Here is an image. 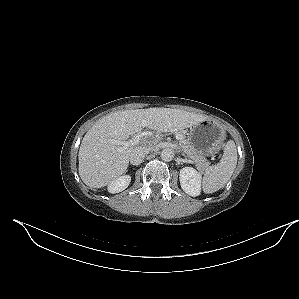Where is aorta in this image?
<instances>
[{"mask_svg":"<svg viewBox=\"0 0 299 299\" xmlns=\"http://www.w3.org/2000/svg\"><path fill=\"white\" fill-rule=\"evenodd\" d=\"M175 156L174 150L171 148H165L161 152V159L165 162L173 160Z\"/></svg>","mask_w":299,"mask_h":299,"instance_id":"1","label":"aorta"}]
</instances>
